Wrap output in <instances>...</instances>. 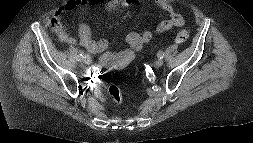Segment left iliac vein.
<instances>
[{
  "label": "left iliac vein",
  "mask_w": 253,
  "mask_h": 143,
  "mask_svg": "<svg viewBox=\"0 0 253 143\" xmlns=\"http://www.w3.org/2000/svg\"><path fill=\"white\" fill-rule=\"evenodd\" d=\"M164 61L162 59H158L156 62H155V66L156 67H161L163 65Z\"/></svg>",
  "instance_id": "obj_1"
}]
</instances>
